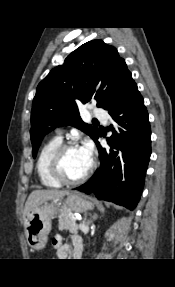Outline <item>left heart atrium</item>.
<instances>
[{
    "label": "left heart atrium",
    "instance_id": "obj_1",
    "mask_svg": "<svg viewBox=\"0 0 175 287\" xmlns=\"http://www.w3.org/2000/svg\"><path fill=\"white\" fill-rule=\"evenodd\" d=\"M81 151L85 154V156L91 161L93 157V148L90 142L86 141L80 147Z\"/></svg>",
    "mask_w": 175,
    "mask_h": 287
}]
</instances>
